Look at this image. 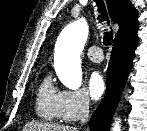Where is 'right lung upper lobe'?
<instances>
[{
    "instance_id": "1",
    "label": "right lung upper lobe",
    "mask_w": 147,
    "mask_h": 131,
    "mask_svg": "<svg viewBox=\"0 0 147 131\" xmlns=\"http://www.w3.org/2000/svg\"><path fill=\"white\" fill-rule=\"evenodd\" d=\"M110 17L119 24L115 40L138 29L137 12L129 0H107Z\"/></svg>"
}]
</instances>
